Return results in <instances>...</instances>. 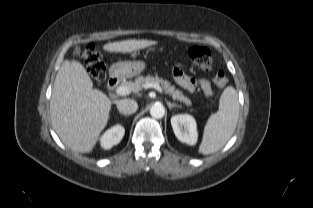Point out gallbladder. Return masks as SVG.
Listing matches in <instances>:
<instances>
[{
	"instance_id": "obj_1",
	"label": "gallbladder",
	"mask_w": 313,
	"mask_h": 208,
	"mask_svg": "<svg viewBox=\"0 0 313 208\" xmlns=\"http://www.w3.org/2000/svg\"><path fill=\"white\" fill-rule=\"evenodd\" d=\"M80 52H81V49H80V47L77 46V47L74 49L73 54H74V55H79Z\"/></svg>"
}]
</instances>
